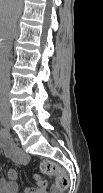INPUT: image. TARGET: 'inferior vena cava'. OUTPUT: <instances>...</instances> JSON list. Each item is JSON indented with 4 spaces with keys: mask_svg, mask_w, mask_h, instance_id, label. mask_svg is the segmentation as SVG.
Segmentation results:
<instances>
[{
    "mask_svg": "<svg viewBox=\"0 0 103 193\" xmlns=\"http://www.w3.org/2000/svg\"><path fill=\"white\" fill-rule=\"evenodd\" d=\"M22 7V6H21ZM21 9V8H20ZM16 33V21L6 35L5 42L2 45V57L0 63V116L10 118L11 109L9 103L10 91V52L12 40Z\"/></svg>",
    "mask_w": 103,
    "mask_h": 193,
    "instance_id": "1",
    "label": "inferior vena cava"
}]
</instances>
